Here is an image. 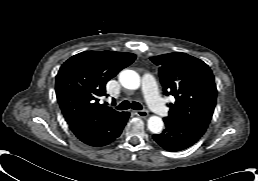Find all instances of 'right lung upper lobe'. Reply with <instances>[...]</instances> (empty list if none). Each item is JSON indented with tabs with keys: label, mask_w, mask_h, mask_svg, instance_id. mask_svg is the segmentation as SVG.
Segmentation results:
<instances>
[{
	"label": "right lung upper lobe",
	"mask_w": 258,
	"mask_h": 181,
	"mask_svg": "<svg viewBox=\"0 0 258 181\" xmlns=\"http://www.w3.org/2000/svg\"><path fill=\"white\" fill-rule=\"evenodd\" d=\"M136 55L113 51H85L69 58L56 76V96L70 126L103 121L121 113L101 104L106 83L129 66Z\"/></svg>",
	"instance_id": "obj_1"
}]
</instances>
